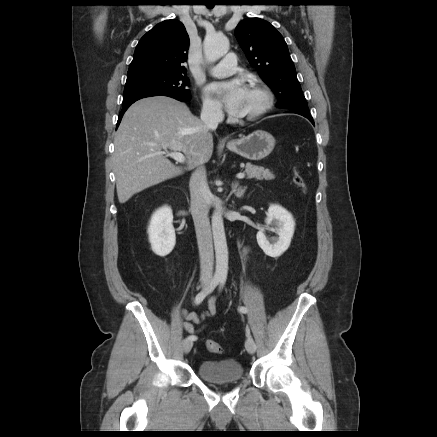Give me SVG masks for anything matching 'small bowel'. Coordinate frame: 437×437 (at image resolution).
<instances>
[{
    "instance_id": "c3829d8e",
    "label": "small bowel",
    "mask_w": 437,
    "mask_h": 437,
    "mask_svg": "<svg viewBox=\"0 0 437 437\" xmlns=\"http://www.w3.org/2000/svg\"><path fill=\"white\" fill-rule=\"evenodd\" d=\"M216 300L211 298L208 303V308L201 315L195 312H188L187 310L182 311L184 317L183 327L191 335L198 332L196 325L201 324L206 318L213 317L216 314Z\"/></svg>"
}]
</instances>
